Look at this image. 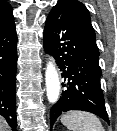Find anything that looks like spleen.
I'll return each mask as SVG.
<instances>
[{
	"label": "spleen",
	"instance_id": "3e777b00",
	"mask_svg": "<svg viewBox=\"0 0 117 131\" xmlns=\"http://www.w3.org/2000/svg\"><path fill=\"white\" fill-rule=\"evenodd\" d=\"M61 123L70 131H104L98 117L84 111H69L62 115Z\"/></svg>",
	"mask_w": 117,
	"mask_h": 131
}]
</instances>
